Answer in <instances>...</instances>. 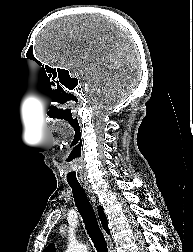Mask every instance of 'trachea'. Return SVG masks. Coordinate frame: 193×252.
Wrapping results in <instances>:
<instances>
[{
	"label": "trachea",
	"instance_id": "trachea-1",
	"mask_svg": "<svg viewBox=\"0 0 193 252\" xmlns=\"http://www.w3.org/2000/svg\"><path fill=\"white\" fill-rule=\"evenodd\" d=\"M69 185L72 188L74 201L83 218L87 233L97 252H108L103 233L99 227L95 212L84 192V189L80 184L69 183Z\"/></svg>",
	"mask_w": 193,
	"mask_h": 252
}]
</instances>
